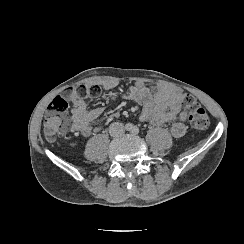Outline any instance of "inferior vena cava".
Instances as JSON below:
<instances>
[{
    "instance_id": "obj_1",
    "label": "inferior vena cava",
    "mask_w": 244,
    "mask_h": 244,
    "mask_svg": "<svg viewBox=\"0 0 244 244\" xmlns=\"http://www.w3.org/2000/svg\"><path fill=\"white\" fill-rule=\"evenodd\" d=\"M109 133L112 137H119L124 134V125L122 123H112L109 126Z\"/></svg>"
}]
</instances>
